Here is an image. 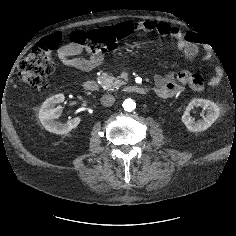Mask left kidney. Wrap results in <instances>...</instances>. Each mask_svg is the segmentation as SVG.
<instances>
[{
    "mask_svg": "<svg viewBox=\"0 0 236 236\" xmlns=\"http://www.w3.org/2000/svg\"><path fill=\"white\" fill-rule=\"evenodd\" d=\"M201 106L206 110V116L199 121H194L190 116L189 111L193 107ZM220 116V108L217 104L206 99H193L187 106L186 111L182 116V122L186 128L192 132H201L208 129Z\"/></svg>",
    "mask_w": 236,
    "mask_h": 236,
    "instance_id": "5707ae66",
    "label": "left kidney"
}]
</instances>
